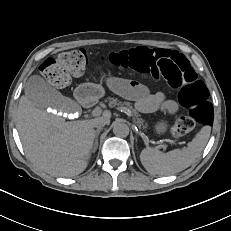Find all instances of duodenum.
Masks as SVG:
<instances>
[{
    "mask_svg": "<svg viewBox=\"0 0 231 231\" xmlns=\"http://www.w3.org/2000/svg\"><path fill=\"white\" fill-rule=\"evenodd\" d=\"M80 103L85 109H88L92 105L90 100H82Z\"/></svg>",
    "mask_w": 231,
    "mask_h": 231,
    "instance_id": "410a0bca",
    "label": "duodenum"
}]
</instances>
